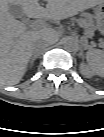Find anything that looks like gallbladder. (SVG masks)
Returning <instances> with one entry per match:
<instances>
[{"instance_id": "1", "label": "gallbladder", "mask_w": 104, "mask_h": 137, "mask_svg": "<svg viewBox=\"0 0 104 137\" xmlns=\"http://www.w3.org/2000/svg\"><path fill=\"white\" fill-rule=\"evenodd\" d=\"M8 10H9L10 14L13 15L15 18H21L22 22L26 26L31 27V25H30L31 21L25 16V14L23 13V10L20 6L10 4Z\"/></svg>"}]
</instances>
